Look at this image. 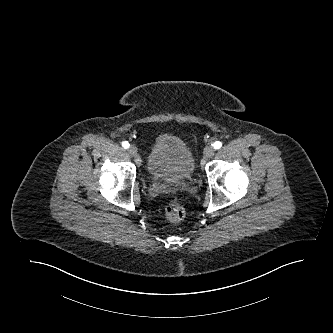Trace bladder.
I'll list each match as a JSON object with an SVG mask.
<instances>
[{"label":"bladder","mask_w":333,"mask_h":333,"mask_svg":"<svg viewBox=\"0 0 333 333\" xmlns=\"http://www.w3.org/2000/svg\"><path fill=\"white\" fill-rule=\"evenodd\" d=\"M194 157L188 145L177 135H157L147 156V173L153 180L179 182L189 179L194 172Z\"/></svg>","instance_id":"bladder-1"}]
</instances>
